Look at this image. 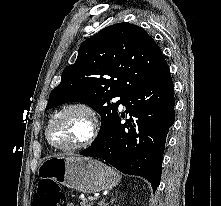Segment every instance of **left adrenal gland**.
Returning a JSON list of instances; mask_svg holds the SVG:
<instances>
[{
    "label": "left adrenal gland",
    "mask_w": 221,
    "mask_h": 206,
    "mask_svg": "<svg viewBox=\"0 0 221 206\" xmlns=\"http://www.w3.org/2000/svg\"><path fill=\"white\" fill-rule=\"evenodd\" d=\"M115 199H113L111 202H113ZM107 204L105 203V199L100 201L99 206H106Z\"/></svg>",
    "instance_id": "a2214340"
}]
</instances>
